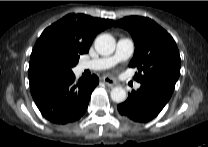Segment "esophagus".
Wrapping results in <instances>:
<instances>
[{
  "mask_svg": "<svg viewBox=\"0 0 208 147\" xmlns=\"http://www.w3.org/2000/svg\"><path fill=\"white\" fill-rule=\"evenodd\" d=\"M102 81L107 85V86H115V85H117V82L113 79V78H111V77H109V76H105V77H103L102 78Z\"/></svg>",
  "mask_w": 208,
  "mask_h": 147,
  "instance_id": "1",
  "label": "esophagus"
}]
</instances>
